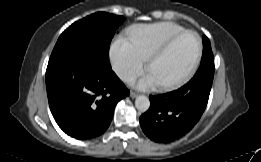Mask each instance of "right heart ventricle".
<instances>
[{
  "instance_id": "obj_1",
  "label": "right heart ventricle",
  "mask_w": 261,
  "mask_h": 162,
  "mask_svg": "<svg viewBox=\"0 0 261 162\" xmlns=\"http://www.w3.org/2000/svg\"><path fill=\"white\" fill-rule=\"evenodd\" d=\"M185 30L173 22L142 24L128 30V38L137 53L144 59L172 35Z\"/></svg>"
}]
</instances>
